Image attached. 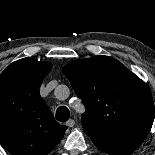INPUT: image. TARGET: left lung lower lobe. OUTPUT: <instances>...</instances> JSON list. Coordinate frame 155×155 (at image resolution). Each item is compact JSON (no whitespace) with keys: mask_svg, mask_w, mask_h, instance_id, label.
Returning a JSON list of instances; mask_svg holds the SVG:
<instances>
[{"mask_svg":"<svg viewBox=\"0 0 155 155\" xmlns=\"http://www.w3.org/2000/svg\"><path fill=\"white\" fill-rule=\"evenodd\" d=\"M143 134L128 135L110 140H93L103 152L110 155H126L132 153L145 139Z\"/></svg>","mask_w":155,"mask_h":155,"instance_id":"obj_1","label":"left lung lower lobe"}]
</instances>
